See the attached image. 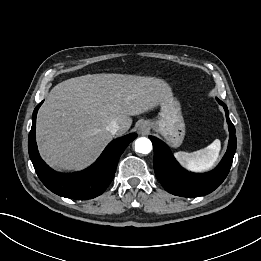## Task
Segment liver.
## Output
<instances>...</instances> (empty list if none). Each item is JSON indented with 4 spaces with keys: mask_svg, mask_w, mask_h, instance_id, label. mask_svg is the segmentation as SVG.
I'll list each match as a JSON object with an SVG mask.
<instances>
[{
    "mask_svg": "<svg viewBox=\"0 0 261 261\" xmlns=\"http://www.w3.org/2000/svg\"><path fill=\"white\" fill-rule=\"evenodd\" d=\"M172 97L162 79L123 74H88L57 84L41 106L36 140L42 158L58 170L89 166L113 135L116 121L122 135L135 116Z\"/></svg>",
    "mask_w": 261,
    "mask_h": 261,
    "instance_id": "1",
    "label": "liver"
}]
</instances>
